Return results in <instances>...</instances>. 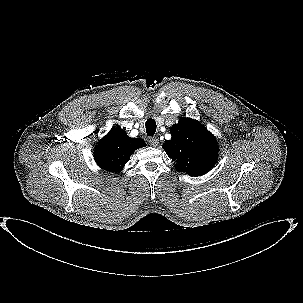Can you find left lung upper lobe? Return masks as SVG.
I'll list each match as a JSON object with an SVG mask.
<instances>
[{
	"label": "left lung upper lobe",
	"instance_id": "1",
	"mask_svg": "<svg viewBox=\"0 0 303 303\" xmlns=\"http://www.w3.org/2000/svg\"><path fill=\"white\" fill-rule=\"evenodd\" d=\"M171 139L165 140L163 149L175 161L177 171L194 177L206 174L218 158L215 136L199 121L181 118L170 128Z\"/></svg>",
	"mask_w": 303,
	"mask_h": 303
}]
</instances>
